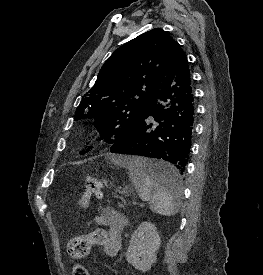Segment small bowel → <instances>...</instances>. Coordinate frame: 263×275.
I'll list each match as a JSON object with an SVG mask.
<instances>
[{"mask_svg": "<svg viewBox=\"0 0 263 275\" xmlns=\"http://www.w3.org/2000/svg\"><path fill=\"white\" fill-rule=\"evenodd\" d=\"M94 223L99 227L103 235L102 246L106 257H114L121 249V236L124 229L126 218L116 212L113 208H103L94 218Z\"/></svg>", "mask_w": 263, "mask_h": 275, "instance_id": "obj_1", "label": "small bowel"}]
</instances>
